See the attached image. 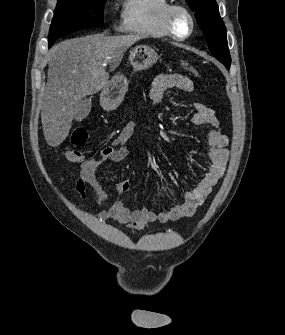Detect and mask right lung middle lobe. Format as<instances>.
Listing matches in <instances>:
<instances>
[{"mask_svg":"<svg viewBox=\"0 0 285 335\" xmlns=\"http://www.w3.org/2000/svg\"><path fill=\"white\" fill-rule=\"evenodd\" d=\"M106 0H58L49 31V46L72 32L103 23Z\"/></svg>","mask_w":285,"mask_h":335,"instance_id":"obj_1","label":"right lung middle lobe"}]
</instances>
